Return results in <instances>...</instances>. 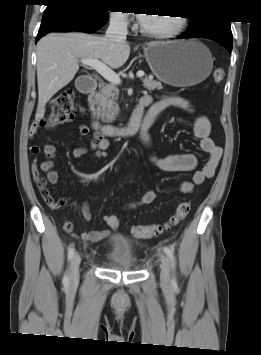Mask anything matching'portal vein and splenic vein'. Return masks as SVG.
Returning <instances> with one entry per match:
<instances>
[{
  "instance_id": "1",
  "label": "portal vein and splenic vein",
  "mask_w": 261,
  "mask_h": 355,
  "mask_svg": "<svg viewBox=\"0 0 261 355\" xmlns=\"http://www.w3.org/2000/svg\"><path fill=\"white\" fill-rule=\"evenodd\" d=\"M80 61L82 64L95 69L104 79L109 81L111 84L118 85L121 83L120 76L98 59H81ZM136 76L138 78H142L144 76V72L138 71Z\"/></svg>"
}]
</instances>
